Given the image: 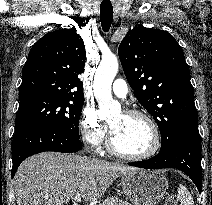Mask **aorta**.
Segmentation results:
<instances>
[{
	"label": "aorta",
	"instance_id": "aorta-1",
	"mask_svg": "<svg viewBox=\"0 0 212 205\" xmlns=\"http://www.w3.org/2000/svg\"><path fill=\"white\" fill-rule=\"evenodd\" d=\"M118 60L114 55L102 58L94 77V95L99 104V117L109 116L120 106L115 104L111 95L112 82L118 72Z\"/></svg>",
	"mask_w": 212,
	"mask_h": 205
}]
</instances>
